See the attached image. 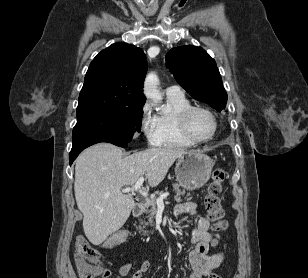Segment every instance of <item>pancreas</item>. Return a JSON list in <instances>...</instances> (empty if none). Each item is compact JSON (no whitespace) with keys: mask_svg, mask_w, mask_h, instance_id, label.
<instances>
[{"mask_svg":"<svg viewBox=\"0 0 308 278\" xmlns=\"http://www.w3.org/2000/svg\"><path fill=\"white\" fill-rule=\"evenodd\" d=\"M174 189H175V193H176V200L180 201L181 196L185 195V191L181 190L179 188L178 184H174ZM159 195H162V192L159 193ZM156 199H152V200H146L144 203V207L146 208V213L148 214V222H144L145 225H153L152 219L154 218V216L157 213V207H156ZM143 224V223H142ZM144 226H139V229H143Z\"/></svg>","mask_w":308,"mask_h":278,"instance_id":"cf45deb5","label":"pancreas"}]
</instances>
